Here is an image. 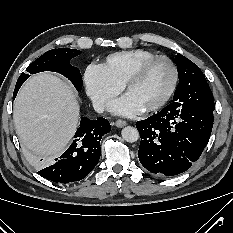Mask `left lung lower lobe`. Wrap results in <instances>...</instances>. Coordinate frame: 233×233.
I'll list each match as a JSON object with an SVG mask.
<instances>
[{"label": "left lung lower lobe", "instance_id": "1", "mask_svg": "<svg viewBox=\"0 0 233 233\" xmlns=\"http://www.w3.org/2000/svg\"><path fill=\"white\" fill-rule=\"evenodd\" d=\"M213 111L172 102L145 120L138 121L141 164L158 176L188 170L202 154L212 131Z\"/></svg>", "mask_w": 233, "mask_h": 233}]
</instances>
